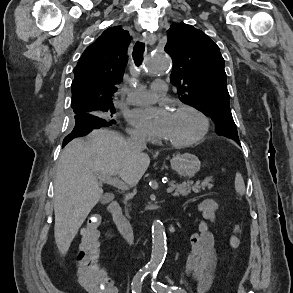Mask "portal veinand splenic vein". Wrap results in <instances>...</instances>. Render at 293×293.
<instances>
[{"mask_svg":"<svg viewBox=\"0 0 293 293\" xmlns=\"http://www.w3.org/2000/svg\"><path fill=\"white\" fill-rule=\"evenodd\" d=\"M99 180L107 184L113 185L121 190H128L127 185L116 176L99 175ZM167 193L173 192L172 187L167 188Z\"/></svg>","mask_w":293,"mask_h":293,"instance_id":"obj_1","label":"portal vein and splenic vein"}]
</instances>
